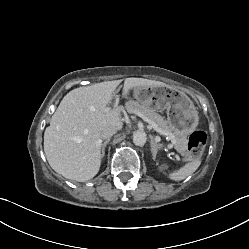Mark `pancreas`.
Returning <instances> with one entry per match:
<instances>
[{
    "mask_svg": "<svg viewBox=\"0 0 249 249\" xmlns=\"http://www.w3.org/2000/svg\"><path fill=\"white\" fill-rule=\"evenodd\" d=\"M125 108L128 113L141 112L143 115L152 120L160 130L167 132L175 137V148L179 152L186 151L188 144L187 136L177 129L173 128L172 126L168 125L167 121H165L162 116L155 113L153 110L147 108L146 106L140 105L136 101H128L125 105Z\"/></svg>",
    "mask_w": 249,
    "mask_h": 249,
    "instance_id": "pancreas-1",
    "label": "pancreas"
}]
</instances>
